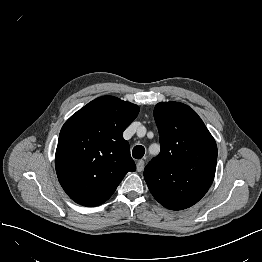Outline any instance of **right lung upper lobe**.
<instances>
[{
  "mask_svg": "<svg viewBox=\"0 0 262 262\" xmlns=\"http://www.w3.org/2000/svg\"><path fill=\"white\" fill-rule=\"evenodd\" d=\"M139 107L113 96L99 97L63 125L55 155L56 173L67 195L83 206H98L136 170L123 131Z\"/></svg>",
  "mask_w": 262,
  "mask_h": 262,
  "instance_id": "right-lung-upper-lobe-1",
  "label": "right lung upper lobe"
}]
</instances>
